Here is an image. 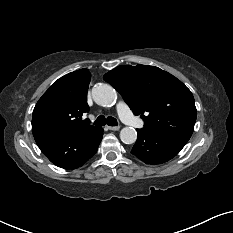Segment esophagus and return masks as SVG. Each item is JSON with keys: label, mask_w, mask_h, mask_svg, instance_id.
<instances>
[{"label": "esophagus", "mask_w": 233, "mask_h": 233, "mask_svg": "<svg viewBox=\"0 0 233 233\" xmlns=\"http://www.w3.org/2000/svg\"><path fill=\"white\" fill-rule=\"evenodd\" d=\"M108 129L112 131H118L120 129V126H108Z\"/></svg>", "instance_id": "esophagus-1"}]
</instances>
